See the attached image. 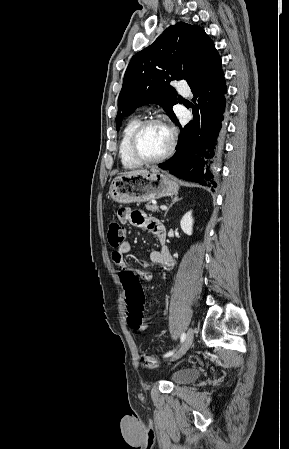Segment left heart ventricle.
<instances>
[{"mask_svg": "<svg viewBox=\"0 0 289 449\" xmlns=\"http://www.w3.org/2000/svg\"><path fill=\"white\" fill-rule=\"evenodd\" d=\"M170 142L169 132L160 124L147 126L141 133L138 141L140 154L148 159L161 156L168 148Z\"/></svg>", "mask_w": 289, "mask_h": 449, "instance_id": "left-heart-ventricle-1", "label": "left heart ventricle"}]
</instances>
